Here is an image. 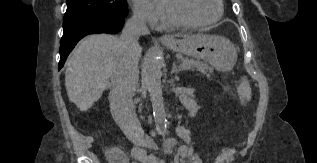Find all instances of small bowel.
<instances>
[{
  "label": "small bowel",
  "instance_id": "c3829d8e",
  "mask_svg": "<svg viewBox=\"0 0 317 163\" xmlns=\"http://www.w3.org/2000/svg\"><path fill=\"white\" fill-rule=\"evenodd\" d=\"M191 112H195L193 106H189ZM178 136L184 141L183 146H178L176 140L169 139L164 145L166 154H174V159L171 163H202V160L197 154L193 152V142L189 131L183 127L177 129ZM109 163H130L126 155L121 151L117 156H112L109 151L107 152ZM131 163H165V161L157 156L146 153L141 148H133Z\"/></svg>",
  "mask_w": 317,
  "mask_h": 163
}]
</instances>
